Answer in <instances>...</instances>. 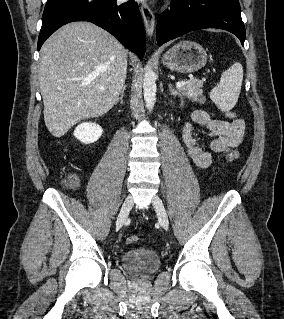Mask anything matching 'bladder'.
Returning a JSON list of instances; mask_svg holds the SVG:
<instances>
[{"mask_svg":"<svg viewBox=\"0 0 284 319\" xmlns=\"http://www.w3.org/2000/svg\"><path fill=\"white\" fill-rule=\"evenodd\" d=\"M123 268L136 278H146L154 274L161 266L158 254L147 248L126 251L121 256Z\"/></svg>","mask_w":284,"mask_h":319,"instance_id":"bladder-1","label":"bladder"}]
</instances>
